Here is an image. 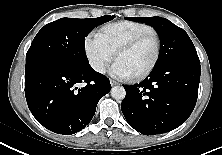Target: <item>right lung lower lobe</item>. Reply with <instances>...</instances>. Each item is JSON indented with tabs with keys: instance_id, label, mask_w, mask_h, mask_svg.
Segmentation results:
<instances>
[{
	"instance_id": "98d812e1",
	"label": "right lung lower lobe",
	"mask_w": 222,
	"mask_h": 155,
	"mask_svg": "<svg viewBox=\"0 0 222 155\" xmlns=\"http://www.w3.org/2000/svg\"><path fill=\"white\" fill-rule=\"evenodd\" d=\"M110 90L109 79L90 64L50 65L25 75V96L31 113L45 128L63 135L85 128L99 99Z\"/></svg>"
}]
</instances>
